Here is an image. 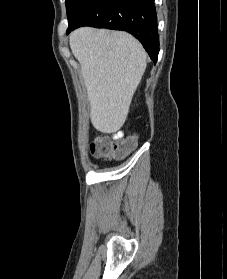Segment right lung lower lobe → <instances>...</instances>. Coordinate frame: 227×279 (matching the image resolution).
Masks as SVG:
<instances>
[{
    "instance_id": "98d812e1",
    "label": "right lung lower lobe",
    "mask_w": 227,
    "mask_h": 279,
    "mask_svg": "<svg viewBox=\"0 0 227 279\" xmlns=\"http://www.w3.org/2000/svg\"><path fill=\"white\" fill-rule=\"evenodd\" d=\"M81 26L127 31L157 62L159 35L154 0H87L66 33Z\"/></svg>"
}]
</instances>
